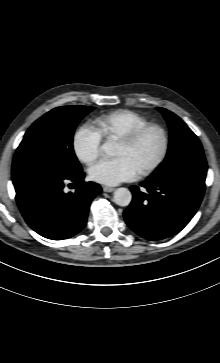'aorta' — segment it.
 <instances>
[{"label":"aorta","instance_id":"aorta-1","mask_svg":"<svg viewBox=\"0 0 220 363\" xmlns=\"http://www.w3.org/2000/svg\"><path fill=\"white\" fill-rule=\"evenodd\" d=\"M103 152L108 156L116 154V147L113 143L107 142L102 146ZM132 200V194L127 188H118L114 192L113 201L119 206H128Z\"/></svg>","mask_w":220,"mask_h":363}]
</instances>
